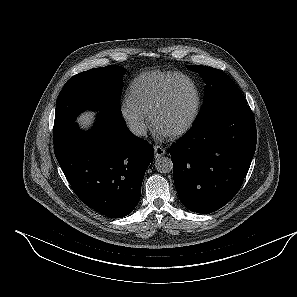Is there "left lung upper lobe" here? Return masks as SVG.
Segmentation results:
<instances>
[{
	"label": "left lung upper lobe",
	"mask_w": 297,
	"mask_h": 297,
	"mask_svg": "<svg viewBox=\"0 0 297 297\" xmlns=\"http://www.w3.org/2000/svg\"><path fill=\"white\" fill-rule=\"evenodd\" d=\"M187 68L200 74L206 83L204 104L193 125L201 124L205 114L214 117L229 107L247 104L239 88L223 71L200 65H187Z\"/></svg>",
	"instance_id": "left-lung-upper-lobe-1"
}]
</instances>
